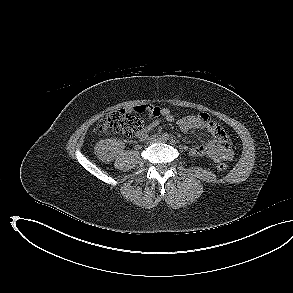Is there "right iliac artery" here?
Instances as JSON below:
<instances>
[{
    "label": "right iliac artery",
    "mask_w": 293,
    "mask_h": 293,
    "mask_svg": "<svg viewBox=\"0 0 293 293\" xmlns=\"http://www.w3.org/2000/svg\"><path fill=\"white\" fill-rule=\"evenodd\" d=\"M163 139L168 140L169 139V134H167V133L163 134Z\"/></svg>",
    "instance_id": "1"
}]
</instances>
